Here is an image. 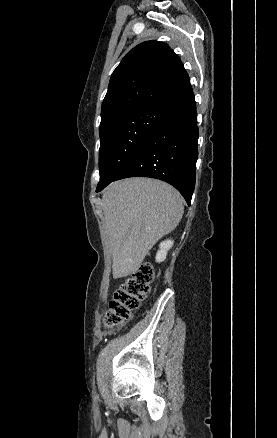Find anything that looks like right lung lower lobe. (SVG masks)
<instances>
[{
    "label": "right lung lower lobe",
    "mask_w": 277,
    "mask_h": 438,
    "mask_svg": "<svg viewBox=\"0 0 277 438\" xmlns=\"http://www.w3.org/2000/svg\"><path fill=\"white\" fill-rule=\"evenodd\" d=\"M197 141L196 103L191 91L167 107L144 144L112 181L157 178L173 185L190 205L195 187ZM108 184L97 186L96 191Z\"/></svg>",
    "instance_id": "1"
}]
</instances>
